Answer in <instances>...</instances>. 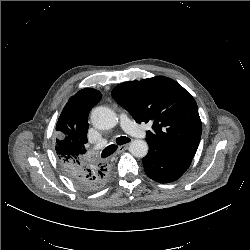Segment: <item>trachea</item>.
Instances as JSON below:
<instances>
[{
    "label": "trachea",
    "mask_w": 250,
    "mask_h": 250,
    "mask_svg": "<svg viewBox=\"0 0 250 250\" xmlns=\"http://www.w3.org/2000/svg\"><path fill=\"white\" fill-rule=\"evenodd\" d=\"M128 142H130V139H129L128 137H126V136H121V137H118V138L116 139V144H117V145H123V144H126V143H128ZM116 144H111V145H109L108 147H106V148L102 151L101 157H102V158H106V157L112 155V154L117 150V147H118V146H117Z\"/></svg>",
    "instance_id": "trachea-1"
}]
</instances>
